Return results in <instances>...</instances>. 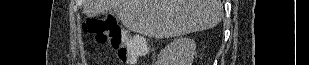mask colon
I'll list each match as a JSON object with an SVG mask.
<instances>
[{"mask_svg": "<svg viewBox=\"0 0 309 65\" xmlns=\"http://www.w3.org/2000/svg\"><path fill=\"white\" fill-rule=\"evenodd\" d=\"M83 30L94 37L99 44L109 43L117 52L120 60L133 64L146 50V43L121 28L112 17H92L83 22Z\"/></svg>", "mask_w": 309, "mask_h": 65, "instance_id": "colon-1", "label": "colon"}]
</instances>
